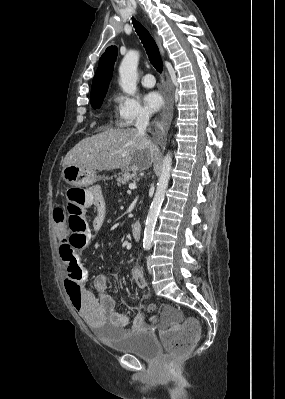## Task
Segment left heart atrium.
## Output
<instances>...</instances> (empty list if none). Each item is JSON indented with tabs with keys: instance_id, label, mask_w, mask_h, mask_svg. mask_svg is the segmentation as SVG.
I'll return each instance as SVG.
<instances>
[{
	"instance_id": "1",
	"label": "left heart atrium",
	"mask_w": 285,
	"mask_h": 399,
	"mask_svg": "<svg viewBox=\"0 0 285 399\" xmlns=\"http://www.w3.org/2000/svg\"><path fill=\"white\" fill-rule=\"evenodd\" d=\"M144 103L150 112L158 111L163 105V98L160 93L156 91L148 92L144 98Z\"/></svg>"
}]
</instances>
